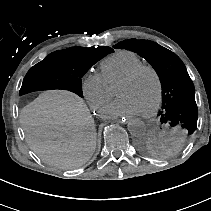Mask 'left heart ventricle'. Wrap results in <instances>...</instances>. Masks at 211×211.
<instances>
[{"instance_id":"obj_1","label":"left heart ventricle","mask_w":211,"mask_h":211,"mask_svg":"<svg viewBox=\"0 0 211 211\" xmlns=\"http://www.w3.org/2000/svg\"><path fill=\"white\" fill-rule=\"evenodd\" d=\"M117 95L129 98L141 113L148 111L157 95V84L149 71H142L129 82L117 85Z\"/></svg>"}]
</instances>
